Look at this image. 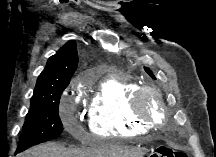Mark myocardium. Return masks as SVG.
<instances>
[{
	"label": "myocardium",
	"instance_id": "f54148a6",
	"mask_svg": "<svg viewBox=\"0 0 216 157\" xmlns=\"http://www.w3.org/2000/svg\"><path fill=\"white\" fill-rule=\"evenodd\" d=\"M150 99L158 105L160 109L158 115L153 114L149 110L148 102ZM131 106L133 113L138 118L147 121L154 126H159L164 123V120L158 121L160 117L165 116L167 113L163 101V95L158 88L153 86L141 87L134 95Z\"/></svg>",
	"mask_w": 216,
	"mask_h": 157
}]
</instances>
